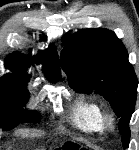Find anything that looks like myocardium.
Returning <instances> with one entry per match:
<instances>
[{
	"instance_id": "myocardium-1",
	"label": "myocardium",
	"mask_w": 139,
	"mask_h": 150,
	"mask_svg": "<svg viewBox=\"0 0 139 150\" xmlns=\"http://www.w3.org/2000/svg\"><path fill=\"white\" fill-rule=\"evenodd\" d=\"M102 127L107 131H113L115 129V118L111 113H103Z\"/></svg>"
}]
</instances>
